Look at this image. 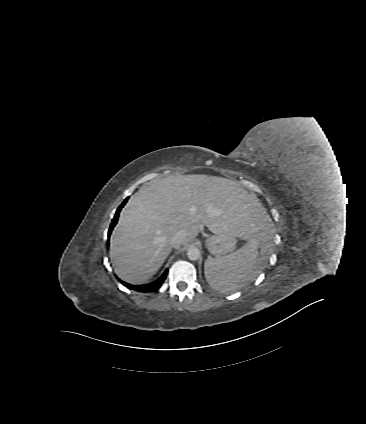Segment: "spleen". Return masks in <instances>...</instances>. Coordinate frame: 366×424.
<instances>
[{
  "label": "spleen",
  "mask_w": 366,
  "mask_h": 424,
  "mask_svg": "<svg viewBox=\"0 0 366 424\" xmlns=\"http://www.w3.org/2000/svg\"><path fill=\"white\" fill-rule=\"evenodd\" d=\"M258 247L259 240L253 238L222 258L207 259L204 269L209 285L215 290L229 292L248 284L255 277V266L259 259Z\"/></svg>",
  "instance_id": "1"
}]
</instances>
